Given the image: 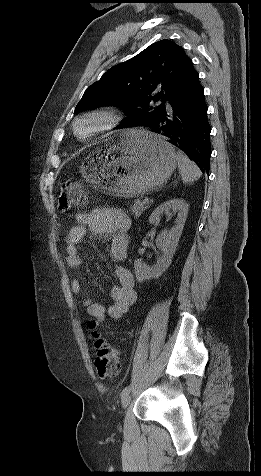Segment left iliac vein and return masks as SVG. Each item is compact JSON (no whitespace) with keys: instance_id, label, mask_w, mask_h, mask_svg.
<instances>
[{"instance_id":"1","label":"left iliac vein","mask_w":261,"mask_h":476,"mask_svg":"<svg viewBox=\"0 0 261 476\" xmlns=\"http://www.w3.org/2000/svg\"><path fill=\"white\" fill-rule=\"evenodd\" d=\"M130 401H131V396H130V393L128 392L127 394L122 396V400H121L122 408L126 409L128 405L130 404Z\"/></svg>"}]
</instances>
